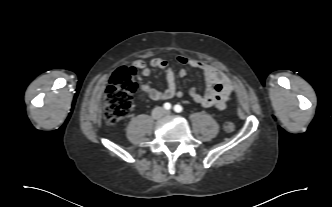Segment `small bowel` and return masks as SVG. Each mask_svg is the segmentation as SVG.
Segmentation results:
<instances>
[{"label":"small bowel","mask_w":332,"mask_h":207,"mask_svg":"<svg viewBox=\"0 0 332 207\" xmlns=\"http://www.w3.org/2000/svg\"><path fill=\"white\" fill-rule=\"evenodd\" d=\"M177 62L181 65L178 71L180 77L186 75V67L200 70L203 73L206 83L205 92L201 94L195 88H191L189 91V95L194 102L207 108L223 109L226 106L232 98L234 91L233 83L226 74L214 66L182 55L177 57ZM131 65L138 69L143 76H148L151 73V68L159 69L165 75L167 81V87L165 89H156L147 84L140 86V90L151 100L159 101L174 96H182V92L176 88L173 67L166 60L153 57L149 64H147L143 60L136 59L132 61Z\"/></svg>","instance_id":"c3829d8e"}]
</instances>
